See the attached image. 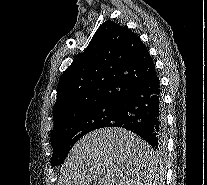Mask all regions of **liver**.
<instances>
[{
  "label": "liver",
  "instance_id": "liver-1",
  "mask_svg": "<svg viewBox=\"0 0 207 185\" xmlns=\"http://www.w3.org/2000/svg\"><path fill=\"white\" fill-rule=\"evenodd\" d=\"M154 157L151 145L132 131L96 129L72 147L61 185H153Z\"/></svg>",
  "mask_w": 207,
  "mask_h": 185
}]
</instances>
